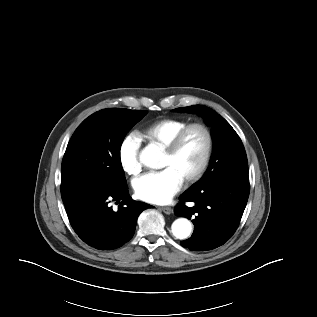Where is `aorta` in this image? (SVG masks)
<instances>
[{
  "instance_id": "obj_1",
  "label": "aorta",
  "mask_w": 317,
  "mask_h": 317,
  "mask_svg": "<svg viewBox=\"0 0 317 317\" xmlns=\"http://www.w3.org/2000/svg\"><path fill=\"white\" fill-rule=\"evenodd\" d=\"M161 157V149L154 144H149L142 150L139 158L144 166L157 169ZM171 231L177 239H187L191 234L192 224L186 218H178L172 223Z\"/></svg>"
}]
</instances>
